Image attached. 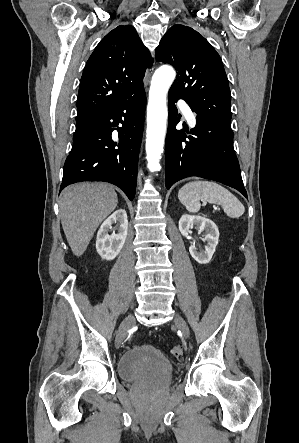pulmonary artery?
<instances>
[{
    "label": "pulmonary artery",
    "mask_w": 299,
    "mask_h": 443,
    "mask_svg": "<svg viewBox=\"0 0 299 443\" xmlns=\"http://www.w3.org/2000/svg\"><path fill=\"white\" fill-rule=\"evenodd\" d=\"M181 109H182V112H183L184 116L186 117L188 123L190 125H194L196 123V117H195L194 113L192 112V110L190 109V107L188 105L182 103Z\"/></svg>",
    "instance_id": "obj_1"
}]
</instances>
